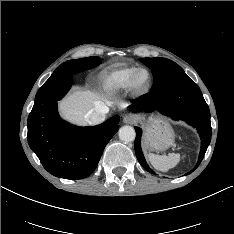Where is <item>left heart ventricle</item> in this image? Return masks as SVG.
I'll return each mask as SVG.
<instances>
[{"label": "left heart ventricle", "mask_w": 234, "mask_h": 234, "mask_svg": "<svg viewBox=\"0 0 234 234\" xmlns=\"http://www.w3.org/2000/svg\"><path fill=\"white\" fill-rule=\"evenodd\" d=\"M149 80L148 74L146 72H142L139 74L138 78H137V85L140 88H143L147 85Z\"/></svg>", "instance_id": "obj_1"}]
</instances>
